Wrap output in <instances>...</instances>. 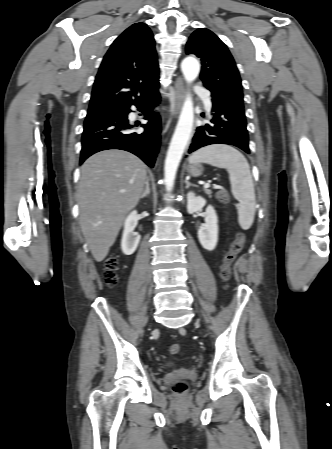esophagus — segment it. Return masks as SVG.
Wrapping results in <instances>:
<instances>
[{
  "label": "esophagus",
  "mask_w": 332,
  "mask_h": 449,
  "mask_svg": "<svg viewBox=\"0 0 332 449\" xmlns=\"http://www.w3.org/2000/svg\"><path fill=\"white\" fill-rule=\"evenodd\" d=\"M174 97H175L176 112H178L184 99V85L181 77H178L175 81Z\"/></svg>",
  "instance_id": "1"
}]
</instances>
